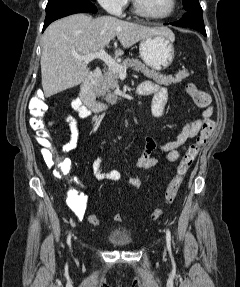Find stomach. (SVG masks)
Returning a JSON list of instances; mask_svg holds the SVG:
<instances>
[{"instance_id": "1", "label": "stomach", "mask_w": 240, "mask_h": 287, "mask_svg": "<svg viewBox=\"0 0 240 287\" xmlns=\"http://www.w3.org/2000/svg\"><path fill=\"white\" fill-rule=\"evenodd\" d=\"M173 35H153L144 38L139 43V53L144 63L153 70H163L169 67L175 57Z\"/></svg>"}]
</instances>
